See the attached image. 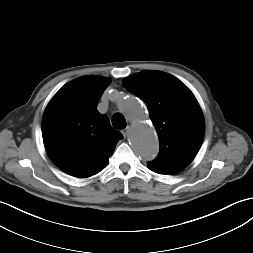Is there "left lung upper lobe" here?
Masks as SVG:
<instances>
[{"mask_svg": "<svg viewBox=\"0 0 253 253\" xmlns=\"http://www.w3.org/2000/svg\"><path fill=\"white\" fill-rule=\"evenodd\" d=\"M123 86L146 103L158 133L160 151L149 165L173 173L184 169L198 153L205 131L193 93L176 77L156 70L128 76Z\"/></svg>", "mask_w": 253, "mask_h": 253, "instance_id": "obj_1", "label": "left lung upper lobe"}]
</instances>
